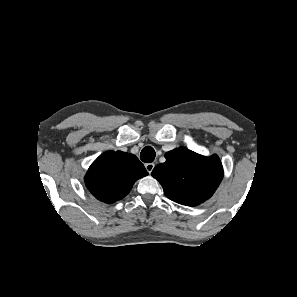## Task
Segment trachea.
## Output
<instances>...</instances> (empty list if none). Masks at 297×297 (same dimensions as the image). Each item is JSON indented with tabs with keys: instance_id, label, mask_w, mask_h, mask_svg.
I'll use <instances>...</instances> for the list:
<instances>
[{
	"instance_id": "trachea-1",
	"label": "trachea",
	"mask_w": 297,
	"mask_h": 297,
	"mask_svg": "<svg viewBox=\"0 0 297 297\" xmlns=\"http://www.w3.org/2000/svg\"><path fill=\"white\" fill-rule=\"evenodd\" d=\"M155 155V150L151 146H146L140 153V159L145 163H150L154 161Z\"/></svg>"
}]
</instances>
